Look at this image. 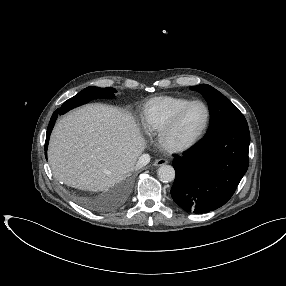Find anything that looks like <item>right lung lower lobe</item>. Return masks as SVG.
<instances>
[{
    "instance_id": "1",
    "label": "right lung lower lobe",
    "mask_w": 286,
    "mask_h": 286,
    "mask_svg": "<svg viewBox=\"0 0 286 286\" xmlns=\"http://www.w3.org/2000/svg\"><path fill=\"white\" fill-rule=\"evenodd\" d=\"M58 114H60V113L58 112V110H56V111L53 113V115H52V117H51V120H50V122H49L48 128H47L46 142H45V155H46V158H47V147H48L49 137H50L52 128H53V126H54V123H55V120H56Z\"/></svg>"
}]
</instances>
